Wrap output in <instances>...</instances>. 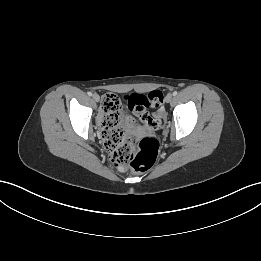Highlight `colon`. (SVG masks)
I'll return each mask as SVG.
<instances>
[{
    "instance_id": "obj_1",
    "label": "colon",
    "mask_w": 261,
    "mask_h": 261,
    "mask_svg": "<svg viewBox=\"0 0 261 261\" xmlns=\"http://www.w3.org/2000/svg\"><path fill=\"white\" fill-rule=\"evenodd\" d=\"M163 94L154 90L148 94L128 93L125 102L129 105L131 113L139 116L141 123L153 129L160 130L167 120L163 117ZM152 107L153 116L148 112ZM121 103L114 94H106L102 99V138L109 154L112 165L119 171L128 166L135 172L147 171L155 163L159 142L152 137L136 140L123 129V118L120 111Z\"/></svg>"
}]
</instances>
